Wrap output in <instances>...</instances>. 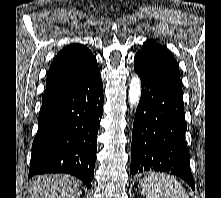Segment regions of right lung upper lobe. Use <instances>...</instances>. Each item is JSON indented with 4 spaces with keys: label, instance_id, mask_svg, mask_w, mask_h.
<instances>
[{
    "label": "right lung upper lobe",
    "instance_id": "1",
    "mask_svg": "<svg viewBox=\"0 0 221 198\" xmlns=\"http://www.w3.org/2000/svg\"><path fill=\"white\" fill-rule=\"evenodd\" d=\"M98 70L96 58L86 46H66L57 54L49 68L42 102L74 88Z\"/></svg>",
    "mask_w": 221,
    "mask_h": 198
}]
</instances>
